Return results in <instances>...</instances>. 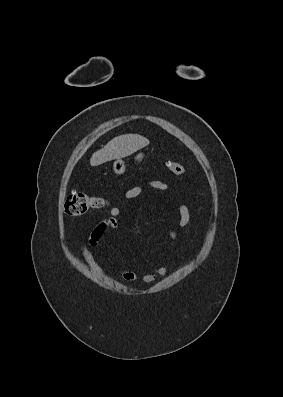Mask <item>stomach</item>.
Returning <instances> with one entry per match:
<instances>
[{
  "instance_id": "1",
  "label": "stomach",
  "mask_w": 283,
  "mask_h": 397,
  "mask_svg": "<svg viewBox=\"0 0 283 397\" xmlns=\"http://www.w3.org/2000/svg\"><path fill=\"white\" fill-rule=\"evenodd\" d=\"M142 157H143V154L140 153V154L137 155L136 159L141 160ZM125 168H126L125 163L121 159H117L113 163V171L116 174H119V175L123 174L125 172Z\"/></svg>"
}]
</instances>
